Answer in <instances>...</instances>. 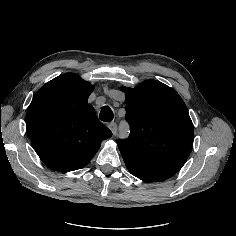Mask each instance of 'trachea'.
<instances>
[{
    "mask_svg": "<svg viewBox=\"0 0 236 236\" xmlns=\"http://www.w3.org/2000/svg\"><path fill=\"white\" fill-rule=\"evenodd\" d=\"M99 118L103 122H110L113 119V112L108 106H104L101 111Z\"/></svg>",
    "mask_w": 236,
    "mask_h": 236,
    "instance_id": "1",
    "label": "trachea"
}]
</instances>
